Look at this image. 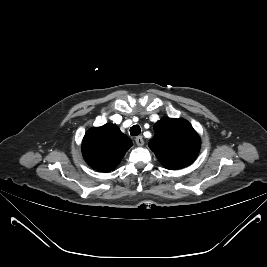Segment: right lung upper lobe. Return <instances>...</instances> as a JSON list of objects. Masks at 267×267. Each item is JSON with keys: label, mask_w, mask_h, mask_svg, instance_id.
<instances>
[{"label": "right lung upper lobe", "mask_w": 267, "mask_h": 267, "mask_svg": "<svg viewBox=\"0 0 267 267\" xmlns=\"http://www.w3.org/2000/svg\"><path fill=\"white\" fill-rule=\"evenodd\" d=\"M132 141L114 124H106L87 131L82 142V153L87 164L102 172L113 170Z\"/></svg>", "instance_id": "cb5924a9"}]
</instances>
